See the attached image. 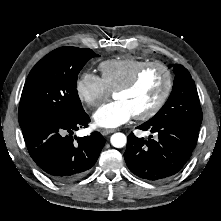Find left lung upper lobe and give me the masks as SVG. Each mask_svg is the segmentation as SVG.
Returning a JSON list of instances; mask_svg holds the SVG:
<instances>
[{"label": "left lung upper lobe", "instance_id": "obj_1", "mask_svg": "<svg viewBox=\"0 0 221 221\" xmlns=\"http://www.w3.org/2000/svg\"><path fill=\"white\" fill-rule=\"evenodd\" d=\"M174 73L175 78L170 97L150 121L170 119L199 131L202 111L195 83L189 71L179 64L174 65Z\"/></svg>", "mask_w": 221, "mask_h": 221}]
</instances>
